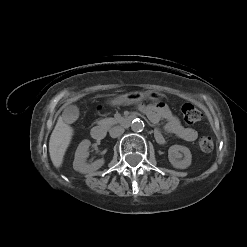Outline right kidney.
<instances>
[{"mask_svg": "<svg viewBox=\"0 0 247 247\" xmlns=\"http://www.w3.org/2000/svg\"><path fill=\"white\" fill-rule=\"evenodd\" d=\"M90 145H91V142L89 140H83L79 144L75 152L73 168L74 170L80 173H83V174L92 173L104 165V159L96 160L95 162L91 164L85 163V160L89 155L88 150H89Z\"/></svg>", "mask_w": 247, "mask_h": 247, "instance_id": "right-kidney-1", "label": "right kidney"}]
</instances>
